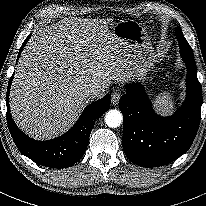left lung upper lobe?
I'll return each instance as SVG.
<instances>
[{
    "mask_svg": "<svg viewBox=\"0 0 206 206\" xmlns=\"http://www.w3.org/2000/svg\"><path fill=\"white\" fill-rule=\"evenodd\" d=\"M176 36H177V39L179 41L180 48H183L186 52H189L193 55V51H192L190 45L188 44V42L186 41V39L184 38L180 27L176 28Z\"/></svg>",
    "mask_w": 206,
    "mask_h": 206,
    "instance_id": "obj_1",
    "label": "left lung upper lobe"
}]
</instances>
